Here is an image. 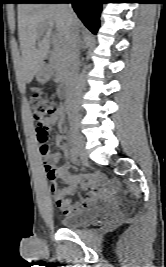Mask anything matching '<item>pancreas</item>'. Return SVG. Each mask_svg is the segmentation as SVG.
Segmentation results:
<instances>
[{"label":"pancreas","instance_id":"cf45deb5","mask_svg":"<svg viewBox=\"0 0 166 267\" xmlns=\"http://www.w3.org/2000/svg\"><path fill=\"white\" fill-rule=\"evenodd\" d=\"M53 63L56 79L58 81L65 79L69 71V62L67 58V47L64 44L55 47L53 52Z\"/></svg>","mask_w":166,"mask_h":267}]
</instances>
